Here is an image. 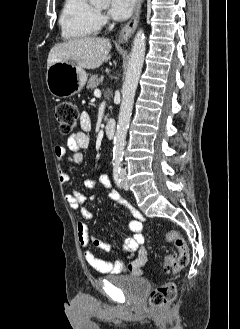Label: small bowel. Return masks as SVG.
<instances>
[{
    "label": "small bowel",
    "mask_w": 240,
    "mask_h": 329,
    "mask_svg": "<svg viewBox=\"0 0 240 329\" xmlns=\"http://www.w3.org/2000/svg\"><path fill=\"white\" fill-rule=\"evenodd\" d=\"M80 131L70 135L65 145H57L54 153L58 161L61 163L59 167V180L62 184L69 181V175L64 169L62 163L82 164L84 162L83 151L88 148L90 143L89 131L91 129V117L89 113L83 112L80 116ZM69 149L71 154L67 156L66 150ZM96 183L105 187H111V181L106 174H99L95 178L86 179L84 186L86 189H92ZM94 195L87 197L79 191H73L66 195V200L70 207L77 210L81 214V219L77 222V234L80 245L83 248L85 261L96 271L107 274H120L128 272L133 276H141L145 271V265L148 260V251L143 246L144 236L142 234L143 225L142 215L132 208L130 204L120 196L116 191L108 194L109 200L128 208L133 219L129 222V229L132 236L127 238L122 246V255L125 260L109 261L97 257L92 251L91 246H95L105 252H111L113 246L96 238L89 230L87 222L91 220L92 213L85 207V203L90 199H94Z\"/></svg>",
    "instance_id": "c3829d8e"
}]
</instances>
